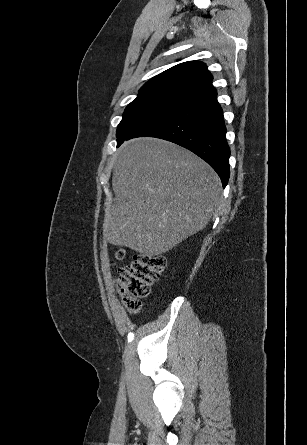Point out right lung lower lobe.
Returning <instances> with one entry per match:
<instances>
[{
    "label": "right lung lower lobe",
    "mask_w": 307,
    "mask_h": 445,
    "mask_svg": "<svg viewBox=\"0 0 307 445\" xmlns=\"http://www.w3.org/2000/svg\"><path fill=\"white\" fill-rule=\"evenodd\" d=\"M223 111L215 88L186 100L173 110L139 127L122 140L156 137L171 141L194 152L218 173L223 187L229 179L230 149L226 142Z\"/></svg>",
    "instance_id": "obj_1"
}]
</instances>
